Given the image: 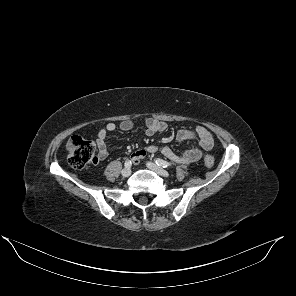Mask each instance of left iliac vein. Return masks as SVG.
<instances>
[{"label": "left iliac vein", "mask_w": 296, "mask_h": 296, "mask_svg": "<svg viewBox=\"0 0 296 296\" xmlns=\"http://www.w3.org/2000/svg\"><path fill=\"white\" fill-rule=\"evenodd\" d=\"M146 165L150 170L154 171L158 175H161L164 177H167L169 175V173L166 170H164L163 168L159 167L158 165L152 162H147Z\"/></svg>", "instance_id": "4c4485c4"}]
</instances>
